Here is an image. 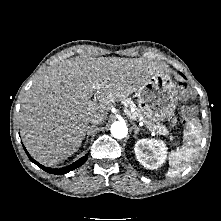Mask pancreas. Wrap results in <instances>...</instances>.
<instances>
[{
	"label": "pancreas",
	"instance_id": "obj_1",
	"mask_svg": "<svg viewBox=\"0 0 221 221\" xmlns=\"http://www.w3.org/2000/svg\"><path fill=\"white\" fill-rule=\"evenodd\" d=\"M125 104L129 107H134V103L131 100H126ZM133 119H141L142 115L138 109H135L133 113H131ZM147 127L152 130L156 131L158 134L167 135L169 132L164 125H155V124H147Z\"/></svg>",
	"mask_w": 221,
	"mask_h": 221
}]
</instances>
